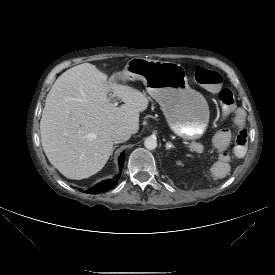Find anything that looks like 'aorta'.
<instances>
[{
	"label": "aorta",
	"instance_id": "obj_1",
	"mask_svg": "<svg viewBox=\"0 0 275 275\" xmlns=\"http://www.w3.org/2000/svg\"><path fill=\"white\" fill-rule=\"evenodd\" d=\"M144 146L148 149V150H154L157 147V141L155 138L153 137H148L145 139L144 141Z\"/></svg>",
	"mask_w": 275,
	"mask_h": 275
}]
</instances>
